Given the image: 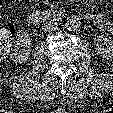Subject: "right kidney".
Masks as SVG:
<instances>
[{"instance_id": "right-kidney-1", "label": "right kidney", "mask_w": 113, "mask_h": 113, "mask_svg": "<svg viewBox=\"0 0 113 113\" xmlns=\"http://www.w3.org/2000/svg\"><path fill=\"white\" fill-rule=\"evenodd\" d=\"M31 39L27 34H22L15 41L13 48H11L10 59L16 63L27 61L30 55Z\"/></svg>"}]
</instances>
